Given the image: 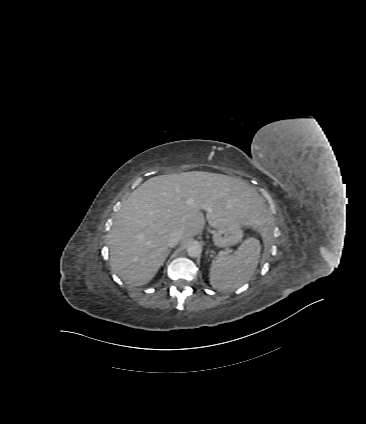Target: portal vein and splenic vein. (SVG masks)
<instances>
[{"mask_svg": "<svg viewBox=\"0 0 366 424\" xmlns=\"http://www.w3.org/2000/svg\"><path fill=\"white\" fill-rule=\"evenodd\" d=\"M206 207H207V205L202 206V208H206Z\"/></svg>", "mask_w": 366, "mask_h": 424, "instance_id": "1", "label": "portal vein and splenic vein"}]
</instances>
